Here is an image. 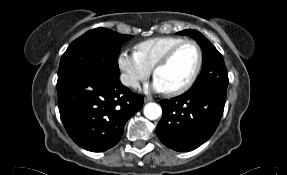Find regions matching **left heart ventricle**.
<instances>
[{"instance_id":"left-heart-ventricle-1","label":"left heart ventricle","mask_w":287,"mask_h":175,"mask_svg":"<svg viewBox=\"0 0 287 175\" xmlns=\"http://www.w3.org/2000/svg\"><path fill=\"white\" fill-rule=\"evenodd\" d=\"M198 61V52L194 45L183 46L165 66L161 67L156 77H159L168 90L184 85L192 76Z\"/></svg>"}]
</instances>
